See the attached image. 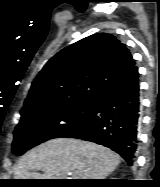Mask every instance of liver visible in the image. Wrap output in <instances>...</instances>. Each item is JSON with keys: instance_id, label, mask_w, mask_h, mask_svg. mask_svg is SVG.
<instances>
[{"instance_id": "liver-1", "label": "liver", "mask_w": 160, "mask_h": 187, "mask_svg": "<svg viewBox=\"0 0 160 187\" xmlns=\"http://www.w3.org/2000/svg\"><path fill=\"white\" fill-rule=\"evenodd\" d=\"M120 163L110 149L79 139L56 138L25 153L14 170L15 179H105ZM42 171L43 174L37 171Z\"/></svg>"}]
</instances>
